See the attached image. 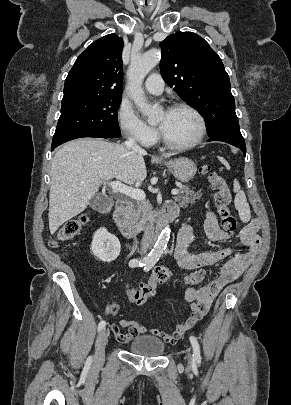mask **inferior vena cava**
Masks as SVG:
<instances>
[{
    "mask_svg": "<svg viewBox=\"0 0 291 405\" xmlns=\"http://www.w3.org/2000/svg\"><path fill=\"white\" fill-rule=\"evenodd\" d=\"M125 146L127 149L132 150L134 152H138V153H145L144 149H142L134 139L129 138L126 142H125ZM152 234V228L148 227L147 231L145 233V237L142 243V249H141V254L146 253V250L149 246V241H150V237Z\"/></svg>",
    "mask_w": 291,
    "mask_h": 405,
    "instance_id": "inferior-vena-cava-1",
    "label": "inferior vena cava"
}]
</instances>
